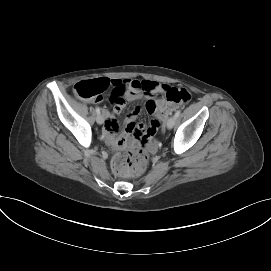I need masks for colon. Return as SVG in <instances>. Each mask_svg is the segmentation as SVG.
<instances>
[{
    "mask_svg": "<svg viewBox=\"0 0 271 271\" xmlns=\"http://www.w3.org/2000/svg\"><path fill=\"white\" fill-rule=\"evenodd\" d=\"M111 84L108 79L100 78L94 80H84L78 82L74 86L75 94L82 99L101 98L102 94ZM172 105H184L189 102L191 95L185 88H176L166 86L163 93L160 95ZM160 123L153 120L147 131V134L142 138L141 147H134L123 154H118L113 158V170L125 177H134L140 175L146 168L148 163L147 149L152 146V136L156 133Z\"/></svg>",
    "mask_w": 271,
    "mask_h": 271,
    "instance_id": "obj_1",
    "label": "colon"
}]
</instances>
